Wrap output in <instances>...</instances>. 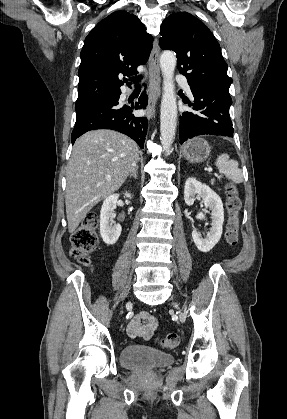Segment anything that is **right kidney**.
<instances>
[{
	"label": "right kidney",
	"mask_w": 287,
	"mask_h": 419,
	"mask_svg": "<svg viewBox=\"0 0 287 419\" xmlns=\"http://www.w3.org/2000/svg\"><path fill=\"white\" fill-rule=\"evenodd\" d=\"M127 198H132V194L125 192ZM119 194H112L108 196L101 207L100 211V235L107 245H113L120 237L122 227L120 224L114 222L113 215L116 209V204Z\"/></svg>",
	"instance_id": "1"
}]
</instances>
